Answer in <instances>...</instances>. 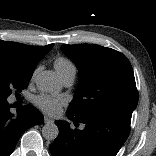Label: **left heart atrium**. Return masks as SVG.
<instances>
[{
    "mask_svg": "<svg viewBox=\"0 0 156 156\" xmlns=\"http://www.w3.org/2000/svg\"><path fill=\"white\" fill-rule=\"evenodd\" d=\"M34 101L38 108L50 115L57 114L65 103L62 98L54 97L48 94L38 95L35 97Z\"/></svg>",
    "mask_w": 156,
    "mask_h": 156,
    "instance_id": "left-heart-atrium-1",
    "label": "left heart atrium"
}]
</instances>
